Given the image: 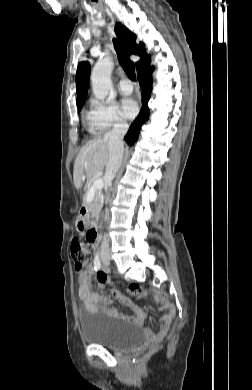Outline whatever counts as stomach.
<instances>
[{"label":"stomach","mask_w":252,"mask_h":390,"mask_svg":"<svg viewBox=\"0 0 252 390\" xmlns=\"http://www.w3.org/2000/svg\"><path fill=\"white\" fill-rule=\"evenodd\" d=\"M75 227H76V230H77V231H82L83 229H85V228H86L85 219L82 218V217H79V218L76 220Z\"/></svg>","instance_id":"0dacf381"}]
</instances>
